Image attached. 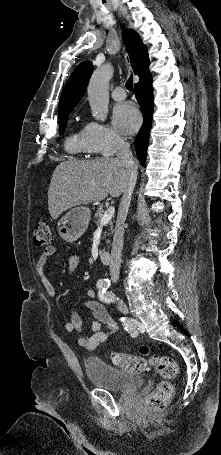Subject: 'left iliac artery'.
Wrapping results in <instances>:
<instances>
[{
    "instance_id": "44dca946",
    "label": "left iliac artery",
    "mask_w": 221,
    "mask_h": 455,
    "mask_svg": "<svg viewBox=\"0 0 221 455\" xmlns=\"http://www.w3.org/2000/svg\"><path fill=\"white\" fill-rule=\"evenodd\" d=\"M98 295H99V298L101 301H104L107 303L114 301V294L109 291L107 292L106 289L100 290Z\"/></svg>"
}]
</instances>
